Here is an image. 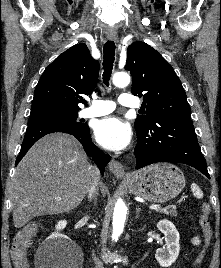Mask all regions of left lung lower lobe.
Segmentation results:
<instances>
[{"label": "left lung lower lobe", "instance_id": "0a47b994", "mask_svg": "<svg viewBox=\"0 0 221 268\" xmlns=\"http://www.w3.org/2000/svg\"><path fill=\"white\" fill-rule=\"evenodd\" d=\"M136 134V169L157 162H177L190 165L210 178L189 117L160 116Z\"/></svg>", "mask_w": 221, "mask_h": 268}]
</instances>
